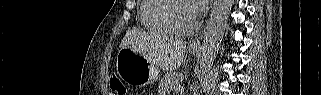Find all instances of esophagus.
Segmentation results:
<instances>
[{
  "label": "esophagus",
  "instance_id": "obj_1",
  "mask_svg": "<svg viewBox=\"0 0 321 95\" xmlns=\"http://www.w3.org/2000/svg\"><path fill=\"white\" fill-rule=\"evenodd\" d=\"M202 37H203V33L196 39H194L191 43H190V47L194 48V47H200L201 46V41H202Z\"/></svg>",
  "mask_w": 321,
  "mask_h": 95
}]
</instances>
